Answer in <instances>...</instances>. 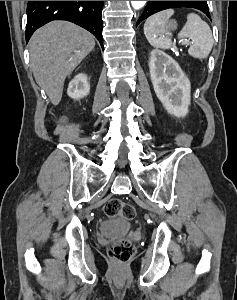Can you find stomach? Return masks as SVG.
Segmentation results:
<instances>
[{
    "label": "stomach",
    "instance_id": "obj_1",
    "mask_svg": "<svg viewBox=\"0 0 237 300\" xmlns=\"http://www.w3.org/2000/svg\"><path fill=\"white\" fill-rule=\"evenodd\" d=\"M176 27H177L176 21H167L166 23L167 33H170V31H175Z\"/></svg>",
    "mask_w": 237,
    "mask_h": 300
}]
</instances>
